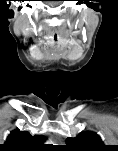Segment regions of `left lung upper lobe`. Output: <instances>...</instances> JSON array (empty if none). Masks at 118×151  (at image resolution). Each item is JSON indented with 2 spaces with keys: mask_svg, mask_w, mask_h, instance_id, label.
<instances>
[{
  "mask_svg": "<svg viewBox=\"0 0 118 151\" xmlns=\"http://www.w3.org/2000/svg\"><path fill=\"white\" fill-rule=\"evenodd\" d=\"M67 148L72 151H97L104 147L99 135L86 131L80 133L75 138H67Z\"/></svg>",
  "mask_w": 118,
  "mask_h": 151,
  "instance_id": "5c2ea615",
  "label": "left lung upper lobe"
}]
</instances>
